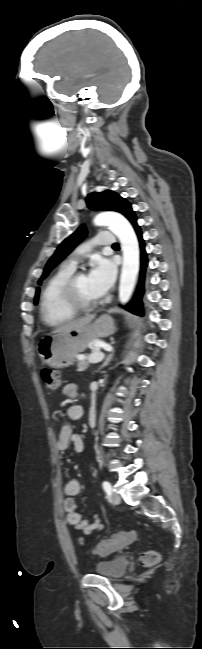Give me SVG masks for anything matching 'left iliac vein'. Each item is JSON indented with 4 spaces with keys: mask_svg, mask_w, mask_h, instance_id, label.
I'll return each instance as SVG.
<instances>
[{
    "mask_svg": "<svg viewBox=\"0 0 202 649\" xmlns=\"http://www.w3.org/2000/svg\"><path fill=\"white\" fill-rule=\"evenodd\" d=\"M111 498L117 504L120 503V501H121L120 495L118 493H116V492H112Z\"/></svg>",
    "mask_w": 202,
    "mask_h": 649,
    "instance_id": "left-iliac-vein-1",
    "label": "left iliac vein"
}]
</instances>
